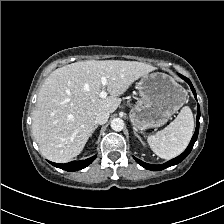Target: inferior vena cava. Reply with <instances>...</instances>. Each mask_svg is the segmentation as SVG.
Returning <instances> with one entry per match:
<instances>
[{
	"label": "inferior vena cava",
	"mask_w": 224,
	"mask_h": 224,
	"mask_svg": "<svg viewBox=\"0 0 224 224\" xmlns=\"http://www.w3.org/2000/svg\"><path fill=\"white\" fill-rule=\"evenodd\" d=\"M109 113L102 111L96 114L95 123L103 125L108 121Z\"/></svg>",
	"instance_id": "obj_1"
}]
</instances>
